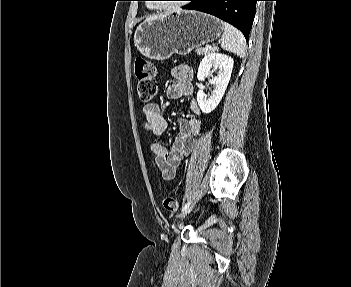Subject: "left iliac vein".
<instances>
[{
  "instance_id": "1",
  "label": "left iliac vein",
  "mask_w": 351,
  "mask_h": 287,
  "mask_svg": "<svg viewBox=\"0 0 351 287\" xmlns=\"http://www.w3.org/2000/svg\"><path fill=\"white\" fill-rule=\"evenodd\" d=\"M195 204H191L185 211H183L181 213V215L179 216V218L182 220L183 218H185V216L193 209Z\"/></svg>"
}]
</instances>
